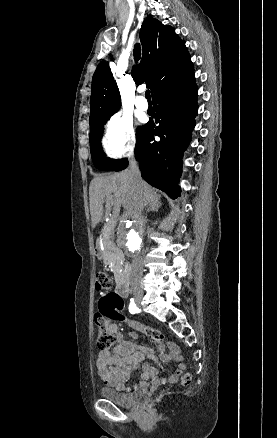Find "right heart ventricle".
I'll return each instance as SVG.
<instances>
[{
	"instance_id": "e07e8e85",
	"label": "right heart ventricle",
	"mask_w": 277,
	"mask_h": 438,
	"mask_svg": "<svg viewBox=\"0 0 277 438\" xmlns=\"http://www.w3.org/2000/svg\"><path fill=\"white\" fill-rule=\"evenodd\" d=\"M110 148V147H109ZM110 152L114 154V151L110 148Z\"/></svg>"
}]
</instances>
